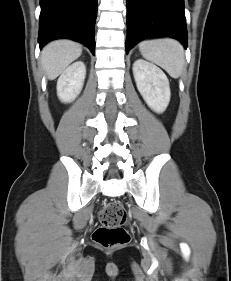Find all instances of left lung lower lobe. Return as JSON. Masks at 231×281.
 Instances as JSON below:
<instances>
[{"label":"left lung lower lobe","mask_w":231,"mask_h":281,"mask_svg":"<svg viewBox=\"0 0 231 281\" xmlns=\"http://www.w3.org/2000/svg\"><path fill=\"white\" fill-rule=\"evenodd\" d=\"M126 52L143 39L168 36L187 47L184 0H126Z\"/></svg>","instance_id":"1"}]
</instances>
